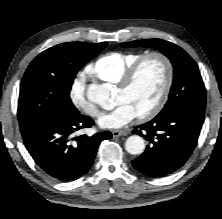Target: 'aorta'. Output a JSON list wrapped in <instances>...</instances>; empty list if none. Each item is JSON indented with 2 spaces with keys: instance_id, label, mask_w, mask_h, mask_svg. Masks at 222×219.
<instances>
[{
  "instance_id": "1",
  "label": "aorta",
  "mask_w": 222,
  "mask_h": 219,
  "mask_svg": "<svg viewBox=\"0 0 222 219\" xmlns=\"http://www.w3.org/2000/svg\"><path fill=\"white\" fill-rule=\"evenodd\" d=\"M86 95L90 102L103 108H107L111 103V90L106 84H91ZM125 148L130 154H141L145 149V141L138 135H132L127 138Z\"/></svg>"
}]
</instances>
